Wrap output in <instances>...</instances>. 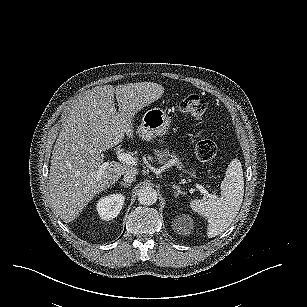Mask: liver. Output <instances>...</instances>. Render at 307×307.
<instances>
[{
  "mask_svg": "<svg viewBox=\"0 0 307 307\" xmlns=\"http://www.w3.org/2000/svg\"><path fill=\"white\" fill-rule=\"evenodd\" d=\"M163 86L153 82L96 86L81 94L56 139L49 171V193L55 215L65 223L74 221L99 193L135 166L107 162L102 152L134 138L132 120L138 111L162 97ZM119 106L117 112L115 99Z\"/></svg>",
  "mask_w": 307,
  "mask_h": 307,
  "instance_id": "1",
  "label": "liver"
}]
</instances>
